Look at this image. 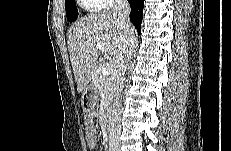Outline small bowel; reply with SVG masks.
<instances>
[{
	"label": "small bowel",
	"instance_id": "1",
	"mask_svg": "<svg viewBox=\"0 0 231 151\" xmlns=\"http://www.w3.org/2000/svg\"><path fill=\"white\" fill-rule=\"evenodd\" d=\"M95 116L90 115L87 117L85 121V136H86V142L89 149L93 150L95 149L98 141L97 132L95 130V122H94Z\"/></svg>",
	"mask_w": 231,
	"mask_h": 151
}]
</instances>
